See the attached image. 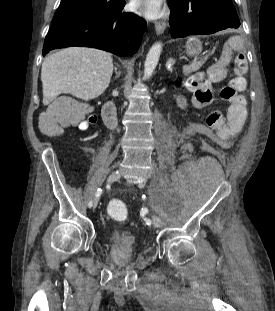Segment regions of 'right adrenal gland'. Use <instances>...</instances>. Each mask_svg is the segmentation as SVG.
<instances>
[{"label": "right adrenal gland", "mask_w": 275, "mask_h": 311, "mask_svg": "<svg viewBox=\"0 0 275 311\" xmlns=\"http://www.w3.org/2000/svg\"><path fill=\"white\" fill-rule=\"evenodd\" d=\"M114 70H115V72H116V74H117V75H116V78H118V77L120 76V74H121V73H120V71H119V69H118V66H117V65H116V67H115V69H114ZM116 78H115V79H116Z\"/></svg>", "instance_id": "2a0ac1e0"}]
</instances>
